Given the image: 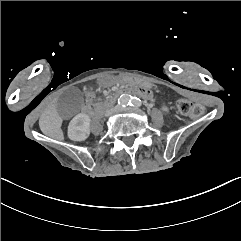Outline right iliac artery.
I'll return each mask as SVG.
<instances>
[{"label":"right iliac artery","mask_w":241,"mask_h":241,"mask_svg":"<svg viewBox=\"0 0 241 241\" xmlns=\"http://www.w3.org/2000/svg\"><path fill=\"white\" fill-rule=\"evenodd\" d=\"M131 99L132 98L130 96H124L118 100V104L122 107H127L128 105H130Z\"/></svg>","instance_id":"82829eb1"}]
</instances>
